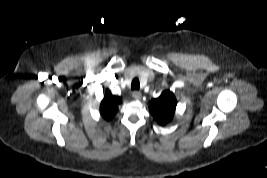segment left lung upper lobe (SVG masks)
<instances>
[{"instance_id": "5c2ea615", "label": "left lung upper lobe", "mask_w": 267, "mask_h": 178, "mask_svg": "<svg viewBox=\"0 0 267 178\" xmlns=\"http://www.w3.org/2000/svg\"><path fill=\"white\" fill-rule=\"evenodd\" d=\"M176 104L174 95L170 91H164L158 98L151 100L149 109L155 120L160 125H165L171 121Z\"/></svg>"}]
</instances>
